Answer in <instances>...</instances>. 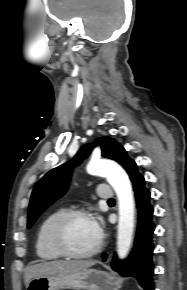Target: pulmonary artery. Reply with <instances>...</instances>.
<instances>
[{"label":"pulmonary artery","mask_w":187,"mask_h":290,"mask_svg":"<svg viewBox=\"0 0 187 290\" xmlns=\"http://www.w3.org/2000/svg\"><path fill=\"white\" fill-rule=\"evenodd\" d=\"M98 197L102 200L109 201L114 198V193L111 189L101 186L97 190Z\"/></svg>","instance_id":"e3ab8cb5"}]
</instances>
